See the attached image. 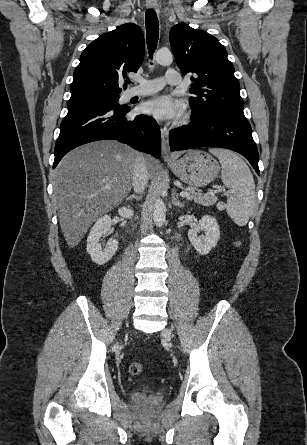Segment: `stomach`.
<instances>
[{"mask_svg":"<svg viewBox=\"0 0 307 445\" xmlns=\"http://www.w3.org/2000/svg\"><path fill=\"white\" fill-rule=\"evenodd\" d=\"M170 164L174 174L190 186H206L221 168L218 160L203 150H189L183 158Z\"/></svg>","mask_w":307,"mask_h":445,"instance_id":"1","label":"stomach"}]
</instances>
